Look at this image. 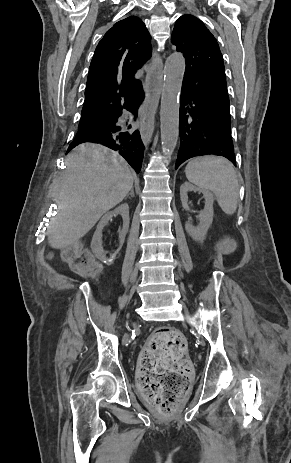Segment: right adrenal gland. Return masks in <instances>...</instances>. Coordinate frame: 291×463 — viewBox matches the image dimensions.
Instances as JSON below:
<instances>
[{"label": "right adrenal gland", "mask_w": 291, "mask_h": 463, "mask_svg": "<svg viewBox=\"0 0 291 463\" xmlns=\"http://www.w3.org/2000/svg\"><path fill=\"white\" fill-rule=\"evenodd\" d=\"M129 195L131 197H134V189H133V187L131 188L130 193L127 194L126 198L129 197Z\"/></svg>", "instance_id": "obj_1"}]
</instances>
